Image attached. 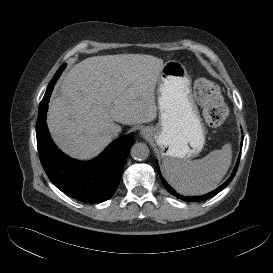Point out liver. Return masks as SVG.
Returning <instances> with one entry per match:
<instances>
[{
	"instance_id": "liver-1",
	"label": "liver",
	"mask_w": 273,
	"mask_h": 273,
	"mask_svg": "<svg viewBox=\"0 0 273 273\" xmlns=\"http://www.w3.org/2000/svg\"><path fill=\"white\" fill-rule=\"evenodd\" d=\"M163 60L145 54L94 56L74 65L50 101L47 122L54 141L69 156L90 160L112 141L117 123L152 122L155 87Z\"/></svg>"
}]
</instances>
